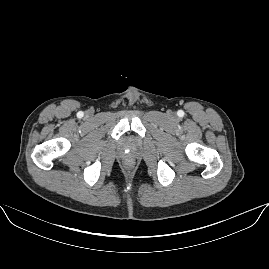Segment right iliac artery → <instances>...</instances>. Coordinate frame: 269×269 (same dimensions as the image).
I'll return each instance as SVG.
<instances>
[{
  "instance_id": "right-iliac-artery-1",
  "label": "right iliac artery",
  "mask_w": 269,
  "mask_h": 269,
  "mask_svg": "<svg viewBox=\"0 0 269 269\" xmlns=\"http://www.w3.org/2000/svg\"><path fill=\"white\" fill-rule=\"evenodd\" d=\"M78 115H79L80 117H82V116H83V112H78Z\"/></svg>"
}]
</instances>
